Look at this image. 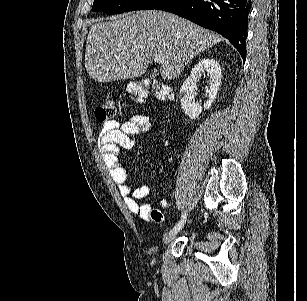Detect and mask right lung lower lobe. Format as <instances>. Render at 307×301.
Returning a JSON list of instances; mask_svg holds the SVG:
<instances>
[{
	"label": "right lung lower lobe",
	"instance_id": "1",
	"mask_svg": "<svg viewBox=\"0 0 307 301\" xmlns=\"http://www.w3.org/2000/svg\"><path fill=\"white\" fill-rule=\"evenodd\" d=\"M251 0H153L142 10L158 9L184 17L224 37L246 59Z\"/></svg>",
	"mask_w": 307,
	"mask_h": 301
}]
</instances>
